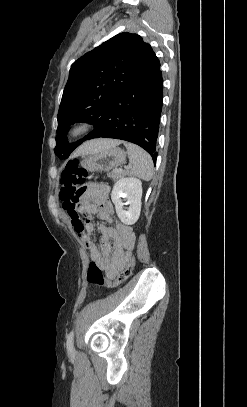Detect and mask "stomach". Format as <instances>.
<instances>
[{
    "instance_id": "1",
    "label": "stomach",
    "mask_w": 247,
    "mask_h": 407,
    "mask_svg": "<svg viewBox=\"0 0 247 407\" xmlns=\"http://www.w3.org/2000/svg\"><path fill=\"white\" fill-rule=\"evenodd\" d=\"M126 159V152L119 147L103 149L85 155L80 162L81 166L89 172L110 171L121 166Z\"/></svg>"
}]
</instances>
